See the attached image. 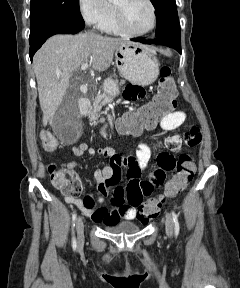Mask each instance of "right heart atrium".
I'll return each instance as SVG.
<instances>
[{"instance_id": "1", "label": "right heart atrium", "mask_w": 240, "mask_h": 288, "mask_svg": "<svg viewBox=\"0 0 240 288\" xmlns=\"http://www.w3.org/2000/svg\"><path fill=\"white\" fill-rule=\"evenodd\" d=\"M78 4L85 21L96 26H102L114 10L109 0H79Z\"/></svg>"}]
</instances>
